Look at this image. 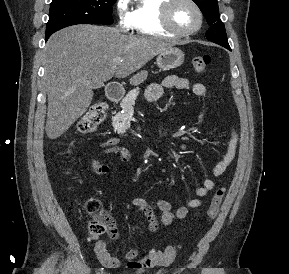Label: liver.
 I'll return each mask as SVG.
<instances>
[{"label":"liver","instance_id":"obj_1","mask_svg":"<svg viewBox=\"0 0 289 274\" xmlns=\"http://www.w3.org/2000/svg\"><path fill=\"white\" fill-rule=\"evenodd\" d=\"M173 45L160 39L125 35L114 27L75 25L54 33L45 47L48 95L46 134L57 139L88 109L93 82L125 78ZM142 71L131 78L137 85Z\"/></svg>","mask_w":289,"mask_h":274}]
</instances>
